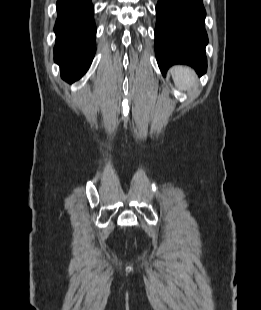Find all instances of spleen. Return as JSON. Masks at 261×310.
Segmentation results:
<instances>
[{
    "label": "spleen",
    "mask_w": 261,
    "mask_h": 310,
    "mask_svg": "<svg viewBox=\"0 0 261 310\" xmlns=\"http://www.w3.org/2000/svg\"><path fill=\"white\" fill-rule=\"evenodd\" d=\"M171 75L175 86L181 91H186L190 89L197 82L195 72L186 66L173 67L171 70Z\"/></svg>",
    "instance_id": "obj_1"
}]
</instances>
